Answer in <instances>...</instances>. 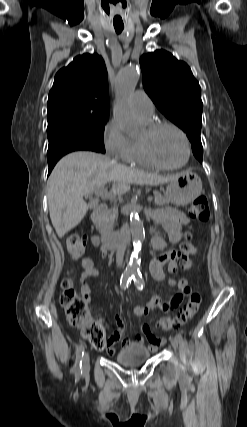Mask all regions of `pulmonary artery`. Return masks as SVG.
<instances>
[{
  "label": "pulmonary artery",
  "instance_id": "pulmonary-artery-1",
  "mask_svg": "<svg viewBox=\"0 0 247 427\" xmlns=\"http://www.w3.org/2000/svg\"><path fill=\"white\" fill-rule=\"evenodd\" d=\"M131 105L135 113L143 120L150 121L154 114V104L147 93L136 90L131 97Z\"/></svg>",
  "mask_w": 247,
  "mask_h": 427
}]
</instances>
